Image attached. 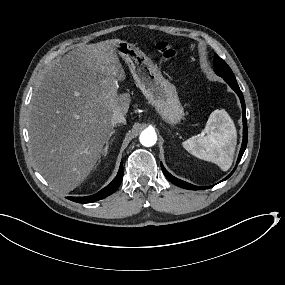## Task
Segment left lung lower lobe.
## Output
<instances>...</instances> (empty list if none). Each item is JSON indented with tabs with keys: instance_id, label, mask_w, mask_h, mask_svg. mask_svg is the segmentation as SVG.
Here are the masks:
<instances>
[{
	"instance_id": "obj_1",
	"label": "left lung lower lobe",
	"mask_w": 285,
	"mask_h": 285,
	"mask_svg": "<svg viewBox=\"0 0 285 285\" xmlns=\"http://www.w3.org/2000/svg\"><path fill=\"white\" fill-rule=\"evenodd\" d=\"M229 85L230 87L238 94L239 98H240V101H241V104H242V110H243V142H242V146H241V150H240V153H239V157H238V160H237V163H236V167L246 149V145H247V138H248V129H247V120H246V115H245V110H246V106H245V102H244V98H243V94L238 86V83L236 81V79H228V80H225ZM236 167L234 168V170L226 177L224 178L222 181L228 179L235 171ZM161 168H162V171L164 173V175L167 177V179L169 181H171L173 184L179 186V187H182V188H185V189H188V190H203V189H208V188H211L213 187L214 185L212 186H208V187H200V186H195V185H192L190 183H187L185 181H182L174 176H172L163 166V164L161 163Z\"/></svg>"
}]
</instances>
